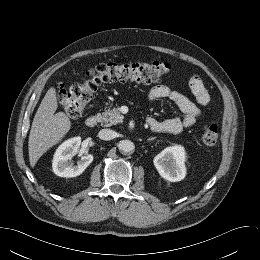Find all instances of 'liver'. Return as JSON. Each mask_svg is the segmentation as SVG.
<instances>
[{"label":"liver","mask_w":260,"mask_h":260,"mask_svg":"<svg viewBox=\"0 0 260 260\" xmlns=\"http://www.w3.org/2000/svg\"><path fill=\"white\" fill-rule=\"evenodd\" d=\"M57 107L56 89L51 87L42 99L32 122L28 141L31 167L71 128V121L64 112L55 113Z\"/></svg>","instance_id":"obj_1"}]
</instances>
